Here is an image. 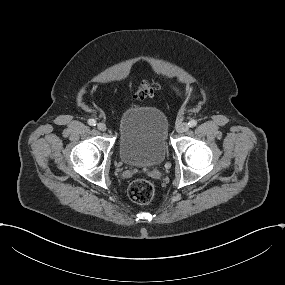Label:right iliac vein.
Returning a JSON list of instances; mask_svg holds the SVG:
<instances>
[{
  "label": "right iliac vein",
  "mask_w": 285,
  "mask_h": 285,
  "mask_svg": "<svg viewBox=\"0 0 285 285\" xmlns=\"http://www.w3.org/2000/svg\"><path fill=\"white\" fill-rule=\"evenodd\" d=\"M97 128L100 130V131H105L106 130V125L104 123H98L97 124Z\"/></svg>",
  "instance_id": "obj_1"
}]
</instances>
